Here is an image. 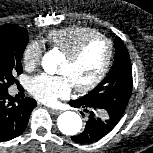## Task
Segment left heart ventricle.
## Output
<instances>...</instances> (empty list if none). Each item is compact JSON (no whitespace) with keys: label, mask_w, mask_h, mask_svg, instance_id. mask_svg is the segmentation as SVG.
<instances>
[{"label":"left heart ventricle","mask_w":153,"mask_h":153,"mask_svg":"<svg viewBox=\"0 0 153 153\" xmlns=\"http://www.w3.org/2000/svg\"><path fill=\"white\" fill-rule=\"evenodd\" d=\"M108 53V44L104 40L91 43L74 62L66 57L60 67V74L66 75L72 86H84L100 72Z\"/></svg>","instance_id":"1"}]
</instances>
